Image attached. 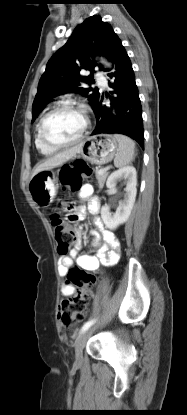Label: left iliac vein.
Masks as SVG:
<instances>
[{
  "label": "left iliac vein",
  "instance_id": "4c4485c4",
  "mask_svg": "<svg viewBox=\"0 0 187 415\" xmlns=\"http://www.w3.org/2000/svg\"><path fill=\"white\" fill-rule=\"evenodd\" d=\"M94 327H89L82 335L77 339L75 344V363L81 364L83 361V350L85 348L88 338L91 336Z\"/></svg>",
  "mask_w": 187,
  "mask_h": 415
}]
</instances>
